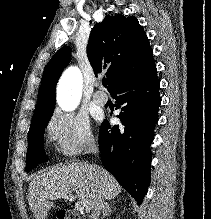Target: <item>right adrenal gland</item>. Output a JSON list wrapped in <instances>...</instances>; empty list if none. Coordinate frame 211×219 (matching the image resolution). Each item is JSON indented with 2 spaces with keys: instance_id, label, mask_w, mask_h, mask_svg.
<instances>
[{
  "instance_id": "1",
  "label": "right adrenal gland",
  "mask_w": 211,
  "mask_h": 219,
  "mask_svg": "<svg viewBox=\"0 0 211 219\" xmlns=\"http://www.w3.org/2000/svg\"><path fill=\"white\" fill-rule=\"evenodd\" d=\"M111 212H112V209L110 208V204L106 202L103 208V215L101 219H104L105 217L109 216Z\"/></svg>"
}]
</instances>
